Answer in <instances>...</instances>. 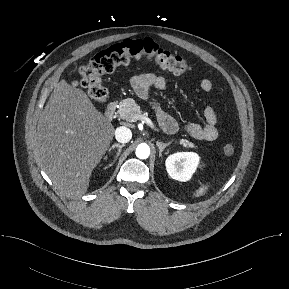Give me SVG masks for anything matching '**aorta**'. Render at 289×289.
<instances>
[{
	"label": "aorta",
	"mask_w": 289,
	"mask_h": 289,
	"mask_svg": "<svg viewBox=\"0 0 289 289\" xmlns=\"http://www.w3.org/2000/svg\"><path fill=\"white\" fill-rule=\"evenodd\" d=\"M150 155V147L147 144H139L136 148V156L139 159H147Z\"/></svg>",
	"instance_id": "762f6f07"
}]
</instances>
